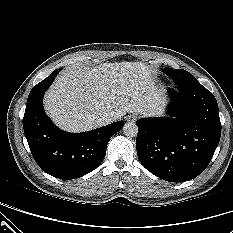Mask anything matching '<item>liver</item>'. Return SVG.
<instances>
[{"mask_svg":"<svg viewBox=\"0 0 233 233\" xmlns=\"http://www.w3.org/2000/svg\"><path fill=\"white\" fill-rule=\"evenodd\" d=\"M162 93L144 63H103L62 72L45 95L44 104L60 128L83 132L102 126L97 119L104 114L112 122L126 113L160 115Z\"/></svg>","mask_w":233,"mask_h":233,"instance_id":"liver-1","label":"liver"}]
</instances>
